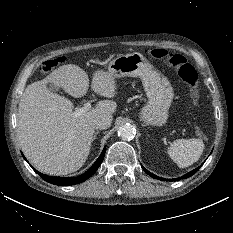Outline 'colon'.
<instances>
[{"instance_id":"colon-1","label":"colon","mask_w":233,"mask_h":233,"mask_svg":"<svg viewBox=\"0 0 233 233\" xmlns=\"http://www.w3.org/2000/svg\"><path fill=\"white\" fill-rule=\"evenodd\" d=\"M146 53H148L153 58L164 60L168 65L174 67L177 70L178 76L188 86L193 105L196 106L198 104L199 97L198 74L195 68L190 63H188L187 59L181 54L171 53L163 48L147 50ZM65 59L66 58L64 56H58L54 59L47 60L42 63L41 70L45 73L49 72L53 68L65 62ZM195 132L199 138H206L205 132L200 127L196 126Z\"/></svg>"}]
</instances>
